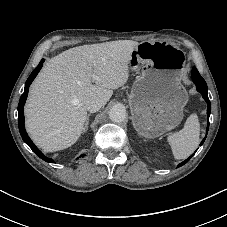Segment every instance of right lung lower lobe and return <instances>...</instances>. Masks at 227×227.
Wrapping results in <instances>:
<instances>
[{"instance_id":"right-lung-lower-lobe-1","label":"right lung lower lobe","mask_w":227,"mask_h":227,"mask_svg":"<svg viewBox=\"0 0 227 227\" xmlns=\"http://www.w3.org/2000/svg\"><path fill=\"white\" fill-rule=\"evenodd\" d=\"M44 59H42L39 63V65L33 70L29 78L27 79L25 83L24 93L22 94L19 104H18V125H19V131L21 134L22 139L24 142L32 149L34 153H36L41 159H43L46 162L53 163L54 161L51 158L46 157L31 141L28 134L26 133L25 126H24V113H23V107L28 95L29 86L40 71L42 65H43Z\"/></svg>"}]
</instances>
